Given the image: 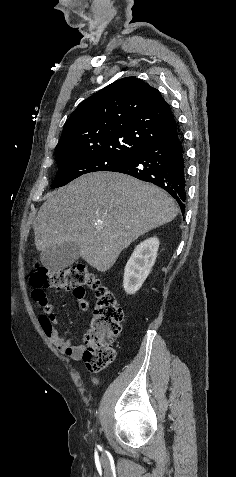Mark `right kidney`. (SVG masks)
Masks as SVG:
<instances>
[{"mask_svg": "<svg viewBox=\"0 0 236 477\" xmlns=\"http://www.w3.org/2000/svg\"><path fill=\"white\" fill-rule=\"evenodd\" d=\"M158 248L159 240L156 237L136 246L124 271L123 286L127 294H134L140 289L155 263Z\"/></svg>", "mask_w": 236, "mask_h": 477, "instance_id": "ca27d5eb", "label": "right kidney"}]
</instances>
